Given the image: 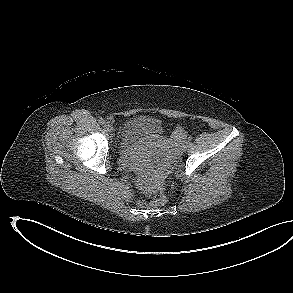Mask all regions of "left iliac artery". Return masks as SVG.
<instances>
[{"mask_svg": "<svg viewBox=\"0 0 293 293\" xmlns=\"http://www.w3.org/2000/svg\"><path fill=\"white\" fill-rule=\"evenodd\" d=\"M191 140H192V137H191V136H189V137H188V141H191Z\"/></svg>", "mask_w": 293, "mask_h": 293, "instance_id": "left-iliac-artery-1", "label": "left iliac artery"}]
</instances>
